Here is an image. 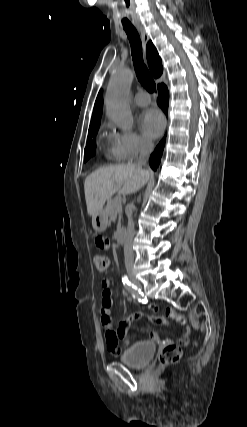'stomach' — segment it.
I'll list each match as a JSON object with an SVG mask.
<instances>
[{
    "label": "stomach",
    "instance_id": "0dacf381",
    "mask_svg": "<svg viewBox=\"0 0 247 427\" xmlns=\"http://www.w3.org/2000/svg\"><path fill=\"white\" fill-rule=\"evenodd\" d=\"M108 217L104 210H101L92 218V226L95 231L103 232L107 228Z\"/></svg>",
    "mask_w": 247,
    "mask_h": 427
}]
</instances>
